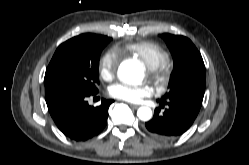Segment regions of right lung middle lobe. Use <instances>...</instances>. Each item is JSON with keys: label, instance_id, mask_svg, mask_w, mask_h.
Masks as SVG:
<instances>
[{"label": "right lung middle lobe", "instance_id": "dd1d6c3e", "mask_svg": "<svg viewBox=\"0 0 249 165\" xmlns=\"http://www.w3.org/2000/svg\"><path fill=\"white\" fill-rule=\"evenodd\" d=\"M110 38L82 34L62 43L45 73V91L55 89L95 93L99 84V58Z\"/></svg>", "mask_w": 249, "mask_h": 165}]
</instances>
